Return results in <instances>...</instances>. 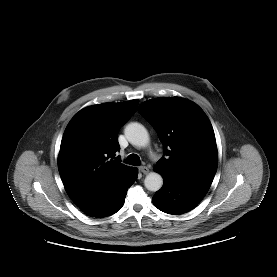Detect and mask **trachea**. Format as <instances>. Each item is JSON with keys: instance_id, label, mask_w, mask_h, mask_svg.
<instances>
[{"instance_id": "1", "label": "trachea", "mask_w": 277, "mask_h": 277, "mask_svg": "<svg viewBox=\"0 0 277 277\" xmlns=\"http://www.w3.org/2000/svg\"><path fill=\"white\" fill-rule=\"evenodd\" d=\"M125 163L130 164V165H134V166H139L141 161L138 155L136 154H130L126 160Z\"/></svg>"}]
</instances>
